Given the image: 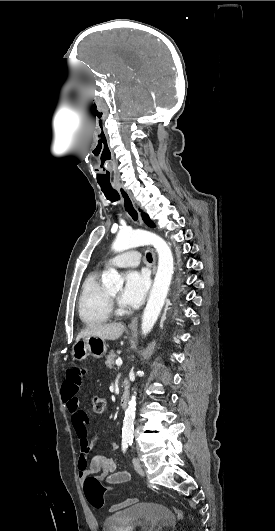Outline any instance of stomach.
Here are the masks:
<instances>
[{
  "instance_id": "stomach-1",
  "label": "stomach",
  "mask_w": 275,
  "mask_h": 531,
  "mask_svg": "<svg viewBox=\"0 0 275 531\" xmlns=\"http://www.w3.org/2000/svg\"><path fill=\"white\" fill-rule=\"evenodd\" d=\"M133 331V329H132ZM107 353V345L101 337H85L74 343L72 350H68V361H84L87 357L101 359Z\"/></svg>"
}]
</instances>
